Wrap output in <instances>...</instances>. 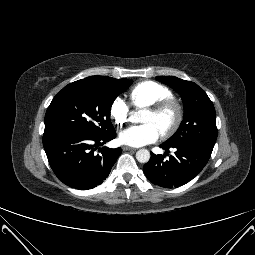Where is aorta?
Here are the masks:
<instances>
[{
	"label": "aorta",
	"mask_w": 255,
	"mask_h": 255,
	"mask_svg": "<svg viewBox=\"0 0 255 255\" xmlns=\"http://www.w3.org/2000/svg\"><path fill=\"white\" fill-rule=\"evenodd\" d=\"M142 111L133 112L132 118L136 122H141ZM136 159L140 163H147L150 160V152L147 149H140L136 152Z\"/></svg>",
	"instance_id": "1"
}]
</instances>
